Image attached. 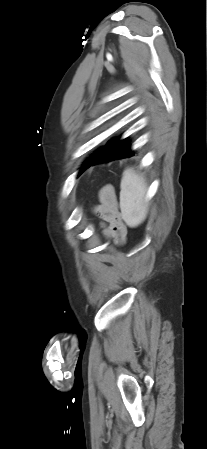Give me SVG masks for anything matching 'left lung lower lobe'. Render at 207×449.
<instances>
[{
	"label": "left lung lower lobe",
	"instance_id": "left-lung-lower-lobe-1",
	"mask_svg": "<svg viewBox=\"0 0 207 449\" xmlns=\"http://www.w3.org/2000/svg\"><path fill=\"white\" fill-rule=\"evenodd\" d=\"M134 152L130 149V143L127 139L119 141V138L110 140L102 147L97 155L88 163L85 170L91 165L108 162L115 159H121L133 156Z\"/></svg>",
	"mask_w": 207,
	"mask_h": 449
}]
</instances>
